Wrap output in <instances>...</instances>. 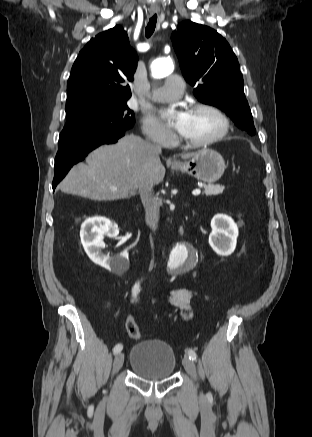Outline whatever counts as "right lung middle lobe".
<instances>
[{
    "instance_id": "dd1d6c3e",
    "label": "right lung middle lobe",
    "mask_w": 312,
    "mask_h": 437,
    "mask_svg": "<svg viewBox=\"0 0 312 437\" xmlns=\"http://www.w3.org/2000/svg\"><path fill=\"white\" fill-rule=\"evenodd\" d=\"M67 122L59 136V149L126 131L135 123L134 113L121 102H82L65 108Z\"/></svg>"
}]
</instances>
